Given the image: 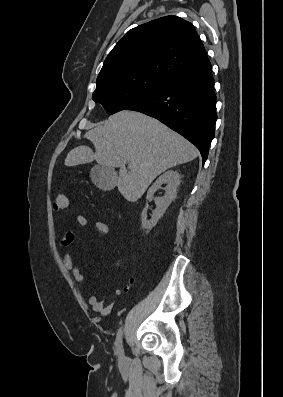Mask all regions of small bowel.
<instances>
[{
    "label": "small bowel",
    "mask_w": 283,
    "mask_h": 397,
    "mask_svg": "<svg viewBox=\"0 0 283 397\" xmlns=\"http://www.w3.org/2000/svg\"><path fill=\"white\" fill-rule=\"evenodd\" d=\"M76 222L79 227L83 228L87 225L88 220L84 215L79 214L76 217ZM95 227L97 231L102 235H106L109 232V226L103 221H95ZM74 239V232L72 230H67L61 239V244L62 246L68 247L73 243ZM63 263L65 268L72 273L73 278L77 283L85 282V276L82 273L80 267L74 264V259L70 252H67L65 254ZM87 302L95 313L103 317L108 316L112 312L114 307L113 304H109L106 306L104 304V300L95 294H89L87 297Z\"/></svg>",
    "instance_id": "small-bowel-1"
}]
</instances>
